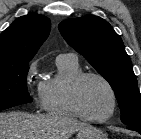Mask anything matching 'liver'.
<instances>
[{"mask_svg": "<svg viewBox=\"0 0 141 139\" xmlns=\"http://www.w3.org/2000/svg\"><path fill=\"white\" fill-rule=\"evenodd\" d=\"M88 126L63 114L0 113V139H69Z\"/></svg>", "mask_w": 141, "mask_h": 139, "instance_id": "obj_1", "label": "liver"}]
</instances>
